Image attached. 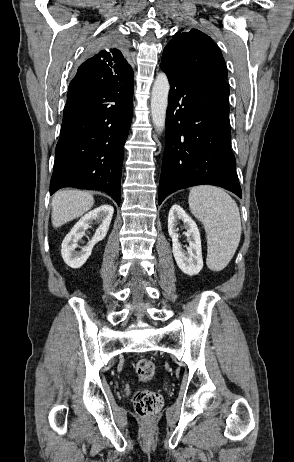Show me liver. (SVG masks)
<instances>
[{
  "label": "liver",
  "mask_w": 294,
  "mask_h": 462,
  "mask_svg": "<svg viewBox=\"0 0 294 462\" xmlns=\"http://www.w3.org/2000/svg\"><path fill=\"white\" fill-rule=\"evenodd\" d=\"M94 204L91 193L79 190L58 191L52 199V224L55 228L82 216Z\"/></svg>",
  "instance_id": "liver-1"
}]
</instances>
